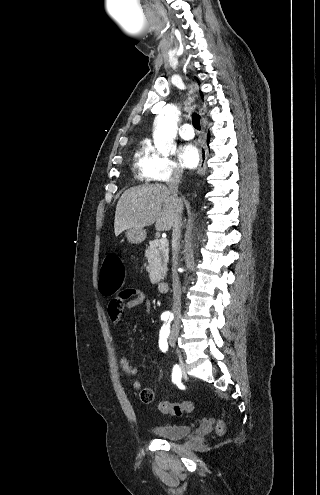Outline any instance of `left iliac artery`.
Segmentation results:
<instances>
[{"label": "left iliac artery", "instance_id": "44dca946", "mask_svg": "<svg viewBox=\"0 0 320 495\" xmlns=\"http://www.w3.org/2000/svg\"><path fill=\"white\" fill-rule=\"evenodd\" d=\"M169 333H170V326L169 323H167L166 325L162 326L159 337V347L163 352H166L168 348L167 338L169 336Z\"/></svg>", "mask_w": 320, "mask_h": 495}]
</instances>
